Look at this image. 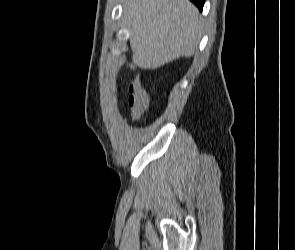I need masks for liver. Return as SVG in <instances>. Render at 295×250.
I'll use <instances>...</instances> for the list:
<instances>
[{
    "label": "liver",
    "instance_id": "1",
    "mask_svg": "<svg viewBox=\"0 0 295 250\" xmlns=\"http://www.w3.org/2000/svg\"><path fill=\"white\" fill-rule=\"evenodd\" d=\"M136 64L157 69L198 47L202 21L189 0H122Z\"/></svg>",
    "mask_w": 295,
    "mask_h": 250
}]
</instances>
